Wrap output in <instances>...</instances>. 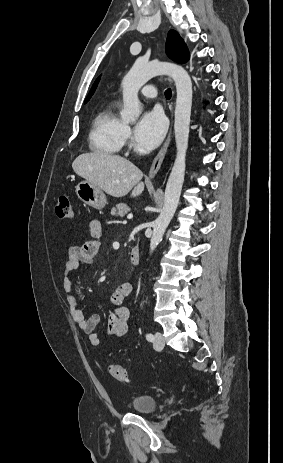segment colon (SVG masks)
Segmentation results:
<instances>
[{"mask_svg": "<svg viewBox=\"0 0 283 463\" xmlns=\"http://www.w3.org/2000/svg\"><path fill=\"white\" fill-rule=\"evenodd\" d=\"M56 215L61 220H71L73 218V207L71 199L62 195L58 198L56 206ZM110 375L117 381L128 383L130 381L126 370L118 364H111L109 366ZM193 395L196 396V391H193Z\"/></svg>", "mask_w": 283, "mask_h": 463, "instance_id": "5ec220e1", "label": "colon"}]
</instances>
